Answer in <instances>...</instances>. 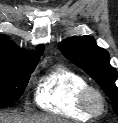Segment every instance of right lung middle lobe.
<instances>
[{"label": "right lung middle lobe", "mask_w": 118, "mask_h": 123, "mask_svg": "<svg viewBox=\"0 0 118 123\" xmlns=\"http://www.w3.org/2000/svg\"><path fill=\"white\" fill-rule=\"evenodd\" d=\"M33 70L0 61V105L13 104L19 100Z\"/></svg>", "instance_id": "right-lung-middle-lobe-1"}]
</instances>
